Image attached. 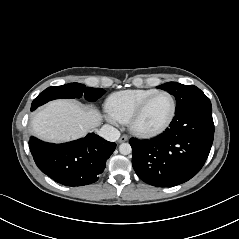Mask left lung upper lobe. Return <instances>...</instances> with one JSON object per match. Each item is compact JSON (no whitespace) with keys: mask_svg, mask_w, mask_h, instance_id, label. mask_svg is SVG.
Listing matches in <instances>:
<instances>
[{"mask_svg":"<svg viewBox=\"0 0 239 239\" xmlns=\"http://www.w3.org/2000/svg\"><path fill=\"white\" fill-rule=\"evenodd\" d=\"M172 94L176 98V111H179L193 103L209 100V98L194 85H183L176 82H168L158 86Z\"/></svg>","mask_w":239,"mask_h":239,"instance_id":"5c2ea615","label":"left lung upper lobe"}]
</instances>
